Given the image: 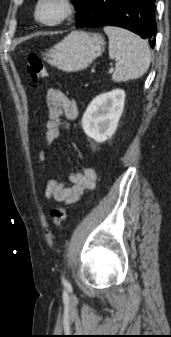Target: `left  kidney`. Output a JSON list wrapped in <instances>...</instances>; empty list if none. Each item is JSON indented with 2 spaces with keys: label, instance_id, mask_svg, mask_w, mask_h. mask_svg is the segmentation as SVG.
Returning a JSON list of instances; mask_svg holds the SVG:
<instances>
[{
  "label": "left kidney",
  "instance_id": "1",
  "mask_svg": "<svg viewBox=\"0 0 171 337\" xmlns=\"http://www.w3.org/2000/svg\"><path fill=\"white\" fill-rule=\"evenodd\" d=\"M125 92L122 89L95 97L82 117L85 134L96 142H104L116 131L124 109Z\"/></svg>",
  "mask_w": 171,
  "mask_h": 337
}]
</instances>
